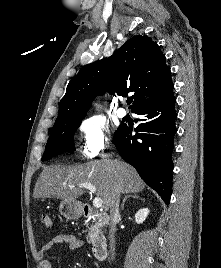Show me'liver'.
Masks as SVG:
<instances>
[{"label": "liver", "mask_w": 221, "mask_h": 268, "mask_svg": "<svg viewBox=\"0 0 221 268\" xmlns=\"http://www.w3.org/2000/svg\"><path fill=\"white\" fill-rule=\"evenodd\" d=\"M81 183L96 187V194L102 199L103 208H110L112 192L137 193L145 188V183L136 170L121 160L105 155L101 160L90 161L84 165L64 167L53 165L44 167L35 184L34 198H57L76 201L84 190Z\"/></svg>", "instance_id": "liver-1"}]
</instances>
